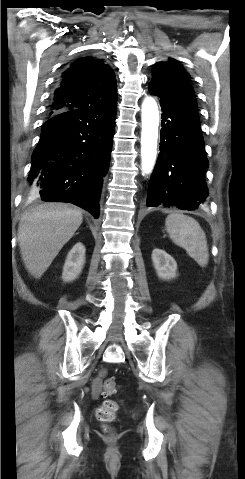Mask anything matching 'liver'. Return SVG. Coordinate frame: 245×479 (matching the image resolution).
I'll list each match as a JSON object with an SVG mask.
<instances>
[{
  "instance_id": "6515ba94",
  "label": "liver",
  "mask_w": 245,
  "mask_h": 479,
  "mask_svg": "<svg viewBox=\"0 0 245 479\" xmlns=\"http://www.w3.org/2000/svg\"><path fill=\"white\" fill-rule=\"evenodd\" d=\"M81 211L65 204H44L20 220L18 242L27 271L40 278L82 224Z\"/></svg>"
}]
</instances>
